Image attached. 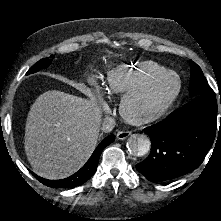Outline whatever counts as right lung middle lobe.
Returning a JSON list of instances; mask_svg holds the SVG:
<instances>
[{"label":"right lung middle lobe","mask_w":221,"mask_h":221,"mask_svg":"<svg viewBox=\"0 0 221 221\" xmlns=\"http://www.w3.org/2000/svg\"><path fill=\"white\" fill-rule=\"evenodd\" d=\"M50 58H54V56L51 55ZM51 61L52 60L49 59V58L41 59L33 67L30 68V70L27 72V75H29L31 73H35V72L39 71L42 68H46L47 66H49L51 64Z\"/></svg>","instance_id":"obj_1"}]
</instances>
